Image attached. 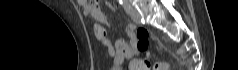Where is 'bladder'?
Listing matches in <instances>:
<instances>
[{"mask_svg":"<svg viewBox=\"0 0 238 70\" xmlns=\"http://www.w3.org/2000/svg\"><path fill=\"white\" fill-rule=\"evenodd\" d=\"M111 70H123L121 67H113Z\"/></svg>","mask_w":238,"mask_h":70,"instance_id":"1","label":"bladder"}]
</instances>
